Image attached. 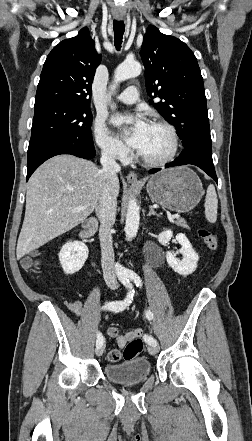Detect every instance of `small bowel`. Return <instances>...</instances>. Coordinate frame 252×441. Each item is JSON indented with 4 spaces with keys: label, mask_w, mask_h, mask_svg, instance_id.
Returning a JSON list of instances; mask_svg holds the SVG:
<instances>
[{
    "label": "small bowel",
    "mask_w": 252,
    "mask_h": 441,
    "mask_svg": "<svg viewBox=\"0 0 252 441\" xmlns=\"http://www.w3.org/2000/svg\"><path fill=\"white\" fill-rule=\"evenodd\" d=\"M67 307L74 315L81 316L82 314L81 301L73 300L67 303ZM107 334L111 339L114 340V342L117 344L119 348H124L133 339L141 337L142 330L140 328H135L125 333H121L118 327L112 326L108 328Z\"/></svg>",
    "instance_id": "c3829d8e"
}]
</instances>
